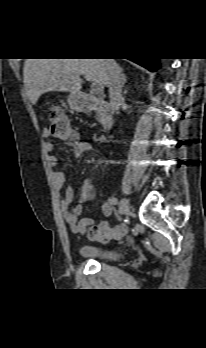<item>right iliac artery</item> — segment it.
I'll return each mask as SVG.
<instances>
[{"mask_svg":"<svg viewBox=\"0 0 206 348\" xmlns=\"http://www.w3.org/2000/svg\"><path fill=\"white\" fill-rule=\"evenodd\" d=\"M110 202H111V204H117L118 203V200H117V198H112L111 200H110Z\"/></svg>","mask_w":206,"mask_h":348,"instance_id":"obj_1","label":"right iliac artery"}]
</instances>
